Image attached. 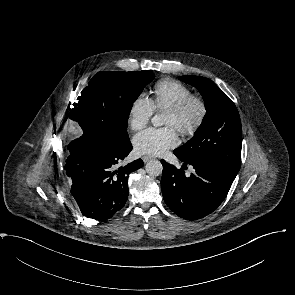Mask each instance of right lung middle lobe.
<instances>
[{
	"label": "right lung middle lobe",
	"mask_w": 295,
	"mask_h": 295,
	"mask_svg": "<svg viewBox=\"0 0 295 295\" xmlns=\"http://www.w3.org/2000/svg\"><path fill=\"white\" fill-rule=\"evenodd\" d=\"M154 76L151 71L98 72L67 115L83 131V135L72 141L68 148L88 137L101 139L114 146L129 143L127 123L131 108Z\"/></svg>",
	"instance_id": "1"
}]
</instances>
